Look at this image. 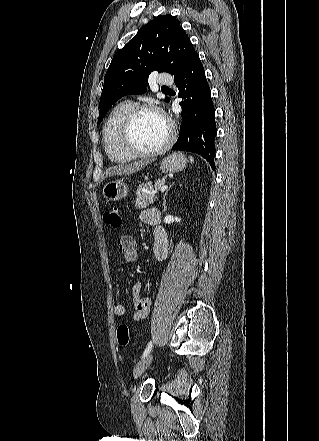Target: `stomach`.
<instances>
[{"instance_id": "stomach-1", "label": "stomach", "mask_w": 319, "mask_h": 441, "mask_svg": "<svg viewBox=\"0 0 319 441\" xmlns=\"http://www.w3.org/2000/svg\"><path fill=\"white\" fill-rule=\"evenodd\" d=\"M187 159L182 153H172L160 163L163 172H177L186 167ZM129 193V186L123 179L112 180L102 189V195L108 201H118Z\"/></svg>"}]
</instances>
